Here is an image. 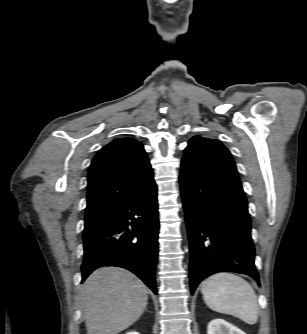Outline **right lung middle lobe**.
I'll use <instances>...</instances> for the list:
<instances>
[{
  "mask_svg": "<svg viewBox=\"0 0 307 334\" xmlns=\"http://www.w3.org/2000/svg\"><path fill=\"white\" fill-rule=\"evenodd\" d=\"M101 218V215L99 216H90V217H85V229H89L93 225L96 224V222Z\"/></svg>",
  "mask_w": 307,
  "mask_h": 334,
  "instance_id": "right-lung-middle-lobe-1",
  "label": "right lung middle lobe"
}]
</instances>
